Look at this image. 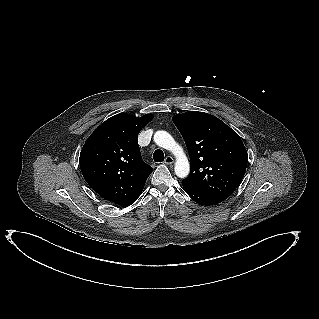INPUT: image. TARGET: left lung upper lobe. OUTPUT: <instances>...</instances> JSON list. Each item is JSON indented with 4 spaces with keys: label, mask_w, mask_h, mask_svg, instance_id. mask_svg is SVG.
I'll return each instance as SVG.
<instances>
[{
    "label": "left lung upper lobe",
    "mask_w": 319,
    "mask_h": 319,
    "mask_svg": "<svg viewBox=\"0 0 319 319\" xmlns=\"http://www.w3.org/2000/svg\"><path fill=\"white\" fill-rule=\"evenodd\" d=\"M190 155L189 188L225 200L241 183L248 161L239 135L217 117L189 111L173 118Z\"/></svg>",
    "instance_id": "obj_1"
}]
</instances>
